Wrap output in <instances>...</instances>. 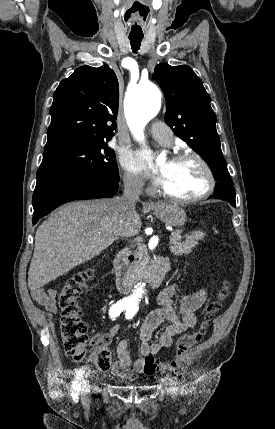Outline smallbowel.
I'll list each match as a JSON object with an SVG mask.
<instances>
[{"mask_svg": "<svg viewBox=\"0 0 275 429\" xmlns=\"http://www.w3.org/2000/svg\"><path fill=\"white\" fill-rule=\"evenodd\" d=\"M32 298L39 305L51 312L56 311V294L57 290L51 288L43 290L40 288L32 290ZM174 287H165L158 295L159 307L151 311L145 318L140 329V354L141 357L132 360L128 351V342L122 339L117 347V360L113 363L111 373L123 378H133L136 374L144 373L146 362L153 358L161 349L168 348L172 345L173 338L187 329L196 325V311L202 307L207 298L206 289L184 296L178 308L173 306ZM167 326L161 332L158 340L151 343V338L156 329L163 323ZM119 331V326L111 327L107 332L97 336V341L109 342ZM146 373V372H145Z\"/></svg>", "mask_w": 275, "mask_h": 429, "instance_id": "obj_1", "label": "small bowel"}]
</instances>
